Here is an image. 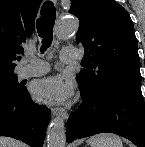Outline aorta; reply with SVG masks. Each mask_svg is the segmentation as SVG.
Here are the masks:
<instances>
[{"label":"aorta","mask_w":145,"mask_h":147,"mask_svg":"<svg viewBox=\"0 0 145 147\" xmlns=\"http://www.w3.org/2000/svg\"><path fill=\"white\" fill-rule=\"evenodd\" d=\"M78 28L77 22L70 18H62L57 22L56 36L67 39ZM66 130L62 116L54 118L47 129V147H65Z\"/></svg>","instance_id":"762f6f07"}]
</instances>
